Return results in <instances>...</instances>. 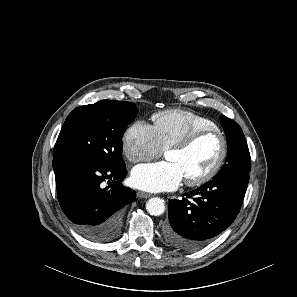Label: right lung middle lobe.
<instances>
[{
  "label": "right lung middle lobe",
  "instance_id": "1",
  "mask_svg": "<svg viewBox=\"0 0 297 297\" xmlns=\"http://www.w3.org/2000/svg\"><path fill=\"white\" fill-rule=\"evenodd\" d=\"M134 103L101 100L74 109L65 120L53 157L76 156L124 167L122 136L137 115Z\"/></svg>",
  "mask_w": 297,
  "mask_h": 297
}]
</instances>
